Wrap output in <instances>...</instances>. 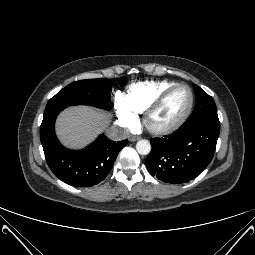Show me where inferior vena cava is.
<instances>
[{"label":"inferior vena cava","mask_w":255,"mask_h":255,"mask_svg":"<svg viewBox=\"0 0 255 255\" xmlns=\"http://www.w3.org/2000/svg\"><path fill=\"white\" fill-rule=\"evenodd\" d=\"M128 135H129L128 130L117 129V128H111L107 132V136L114 141L123 140L127 138Z\"/></svg>","instance_id":"inferior-vena-cava-1"}]
</instances>
